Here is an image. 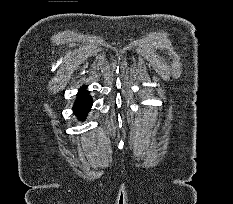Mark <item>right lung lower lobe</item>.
<instances>
[{
    "mask_svg": "<svg viewBox=\"0 0 233 204\" xmlns=\"http://www.w3.org/2000/svg\"><path fill=\"white\" fill-rule=\"evenodd\" d=\"M86 94L87 92L85 87L81 88L79 91L78 100L76 101L73 109L74 113L81 118H84L87 115V112L92 105V99Z\"/></svg>",
    "mask_w": 233,
    "mask_h": 204,
    "instance_id": "right-lung-lower-lobe-1",
    "label": "right lung lower lobe"
}]
</instances>
